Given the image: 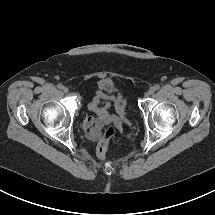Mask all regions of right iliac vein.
<instances>
[{
	"mask_svg": "<svg viewBox=\"0 0 215 215\" xmlns=\"http://www.w3.org/2000/svg\"><path fill=\"white\" fill-rule=\"evenodd\" d=\"M62 90H63V92H65V93H68V91H69L68 87H63Z\"/></svg>",
	"mask_w": 215,
	"mask_h": 215,
	"instance_id": "obj_1",
	"label": "right iliac vein"
}]
</instances>
